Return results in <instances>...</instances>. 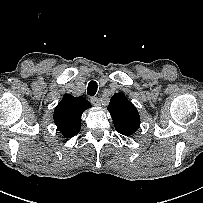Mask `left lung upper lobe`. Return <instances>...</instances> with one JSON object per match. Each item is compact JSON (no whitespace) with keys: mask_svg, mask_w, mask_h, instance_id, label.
Segmentation results:
<instances>
[{"mask_svg":"<svg viewBox=\"0 0 203 203\" xmlns=\"http://www.w3.org/2000/svg\"><path fill=\"white\" fill-rule=\"evenodd\" d=\"M115 129L123 135H133L140 126V116L136 107L123 93L112 96L108 105Z\"/></svg>","mask_w":203,"mask_h":203,"instance_id":"left-lung-upper-lobe-1","label":"left lung upper lobe"}]
</instances>
